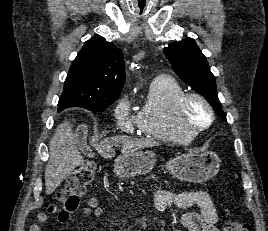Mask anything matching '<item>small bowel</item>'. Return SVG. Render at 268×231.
Here are the masks:
<instances>
[{"mask_svg": "<svg viewBox=\"0 0 268 231\" xmlns=\"http://www.w3.org/2000/svg\"><path fill=\"white\" fill-rule=\"evenodd\" d=\"M154 207L158 211L172 207L181 209L198 207L199 212H187L181 216V225L188 231H218L216 227L218 214L210 194L206 191L174 193L160 190L155 194ZM52 210L53 207L48 208V211ZM103 213L104 208L100 205L99 199L95 196L90 197L83 209V216L100 217ZM47 217V213H39L37 216L39 223L32 224L29 231H42L40 223L45 222Z\"/></svg>", "mask_w": 268, "mask_h": 231, "instance_id": "small-bowel-1", "label": "small bowel"}]
</instances>
